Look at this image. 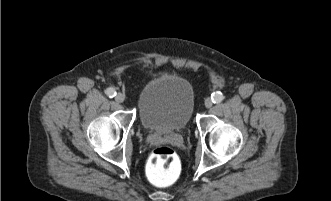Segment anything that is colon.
Wrapping results in <instances>:
<instances>
[{
	"label": "colon",
	"instance_id": "5ec220e1",
	"mask_svg": "<svg viewBox=\"0 0 331 201\" xmlns=\"http://www.w3.org/2000/svg\"><path fill=\"white\" fill-rule=\"evenodd\" d=\"M181 162L176 151L167 146L155 148L146 164V175L156 186L166 187L178 179Z\"/></svg>",
	"mask_w": 331,
	"mask_h": 201
}]
</instances>
